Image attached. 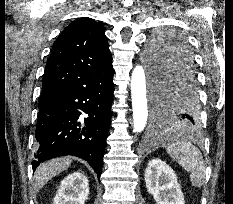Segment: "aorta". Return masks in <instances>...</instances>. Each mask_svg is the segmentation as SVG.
Wrapping results in <instances>:
<instances>
[{
  "instance_id": "762f6f07",
  "label": "aorta",
  "mask_w": 233,
  "mask_h": 204,
  "mask_svg": "<svg viewBox=\"0 0 233 204\" xmlns=\"http://www.w3.org/2000/svg\"><path fill=\"white\" fill-rule=\"evenodd\" d=\"M131 97L133 107L134 131L140 133L144 130L148 119V107L146 96V77L141 65L134 68L131 76ZM166 105H161L162 112L167 111Z\"/></svg>"
}]
</instances>
